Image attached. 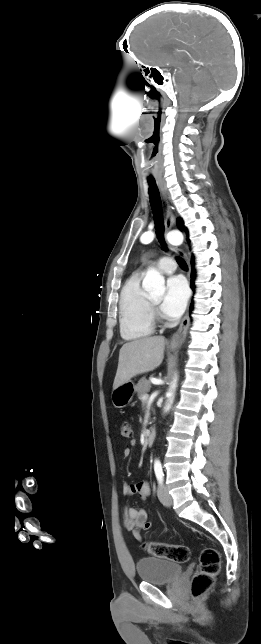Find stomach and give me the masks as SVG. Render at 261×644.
I'll return each mask as SVG.
<instances>
[{
  "instance_id": "obj_1",
  "label": "stomach",
  "mask_w": 261,
  "mask_h": 644,
  "mask_svg": "<svg viewBox=\"0 0 261 644\" xmlns=\"http://www.w3.org/2000/svg\"><path fill=\"white\" fill-rule=\"evenodd\" d=\"M178 347H170L171 350L175 351ZM136 392V386L132 381H128L118 388L114 389L111 394V401L115 408H124L126 407L133 399V396Z\"/></svg>"
}]
</instances>
